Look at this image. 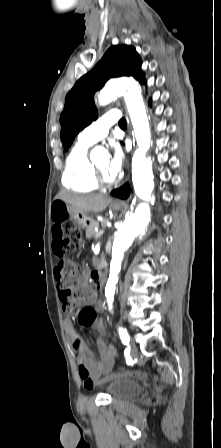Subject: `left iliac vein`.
<instances>
[{
  "label": "left iliac vein",
  "mask_w": 221,
  "mask_h": 448,
  "mask_svg": "<svg viewBox=\"0 0 221 448\" xmlns=\"http://www.w3.org/2000/svg\"><path fill=\"white\" fill-rule=\"evenodd\" d=\"M129 347H130L131 356L136 355L137 354V347H136V344H135L134 340L130 341Z\"/></svg>",
  "instance_id": "4c4485c4"
}]
</instances>
